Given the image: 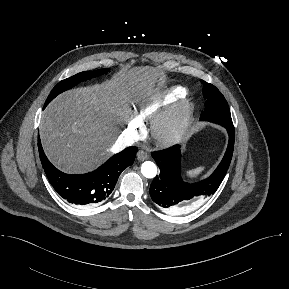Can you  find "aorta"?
Here are the masks:
<instances>
[{
	"label": "aorta",
	"mask_w": 289,
	"mask_h": 289,
	"mask_svg": "<svg viewBox=\"0 0 289 289\" xmlns=\"http://www.w3.org/2000/svg\"><path fill=\"white\" fill-rule=\"evenodd\" d=\"M141 173L146 178H154L157 174V167L151 161H146L141 166Z\"/></svg>",
	"instance_id": "obj_1"
}]
</instances>
